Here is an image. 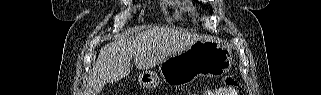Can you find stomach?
<instances>
[{"mask_svg":"<svg viewBox=\"0 0 321 95\" xmlns=\"http://www.w3.org/2000/svg\"><path fill=\"white\" fill-rule=\"evenodd\" d=\"M231 64V52L224 45L200 39L160 63L159 72L164 82L180 85L192 82L199 76L224 74ZM139 83L145 88H153L159 85L160 79L155 73L146 71L140 74Z\"/></svg>","mask_w":321,"mask_h":95,"instance_id":"obj_1","label":"stomach"}]
</instances>
